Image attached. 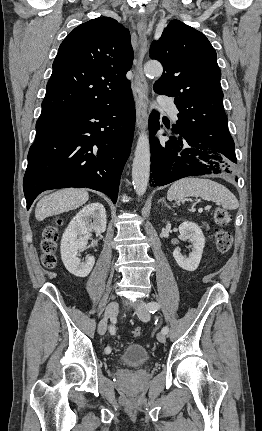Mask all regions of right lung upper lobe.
I'll use <instances>...</instances> for the list:
<instances>
[{
	"label": "right lung upper lobe",
	"mask_w": 262,
	"mask_h": 431,
	"mask_svg": "<svg viewBox=\"0 0 262 431\" xmlns=\"http://www.w3.org/2000/svg\"><path fill=\"white\" fill-rule=\"evenodd\" d=\"M133 57L129 31L115 19L99 17L79 25L59 47L42 113L118 103L131 91L126 73Z\"/></svg>",
	"instance_id": "cb5924a9"
}]
</instances>
